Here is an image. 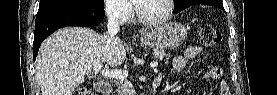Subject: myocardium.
<instances>
[{"label":"myocardium","instance_id":"1","mask_svg":"<svg viewBox=\"0 0 277 95\" xmlns=\"http://www.w3.org/2000/svg\"><path fill=\"white\" fill-rule=\"evenodd\" d=\"M141 0H132V7H133V13L135 16V19L141 23V24H145V25H159L162 24L164 22H166L167 20L170 19L173 10H174V1L173 0H165L166 4H167V12L164 16L159 17V18H152V19H148L145 17H142L139 14L138 11V2Z\"/></svg>","mask_w":277,"mask_h":95}]
</instances>
